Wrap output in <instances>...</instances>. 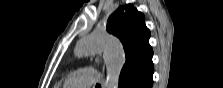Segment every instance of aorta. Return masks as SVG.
Here are the masks:
<instances>
[{"label":"aorta","instance_id":"obj_1","mask_svg":"<svg viewBox=\"0 0 223 88\" xmlns=\"http://www.w3.org/2000/svg\"><path fill=\"white\" fill-rule=\"evenodd\" d=\"M99 51L103 52L106 65V86L117 88L120 72L125 63V53L121 43L116 38L107 34L92 33L78 42L75 55L85 57Z\"/></svg>","mask_w":223,"mask_h":88}]
</instances>
